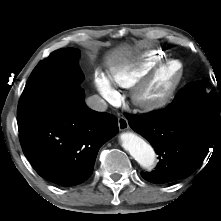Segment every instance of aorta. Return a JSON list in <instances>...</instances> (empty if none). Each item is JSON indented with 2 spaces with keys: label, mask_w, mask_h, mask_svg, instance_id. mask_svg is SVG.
<instances>
[{
  "label": "aorta",
  "mask_w": 221,
  "mask_h": 221,
  "mask_svg": "<svg viewBox=\"0 0 221 221\" xmlns=\"http://www.w3.org/2000/svg\"><path fill=\"white\" fill-rule=\"evenodd\" d=\"M122 147L144 168L150 169L155 161L153 148L142 138L132 132H124L119 136Z\"/></svg>",
  "instance_id": "aorta-1"
}]
</instances>
